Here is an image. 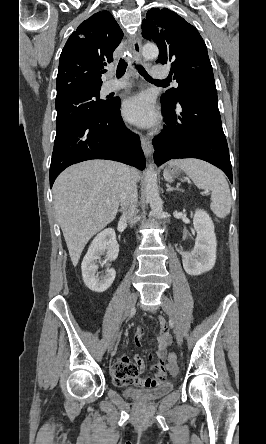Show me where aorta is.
Instances as JSON below:
<instances>
[{
    "mask_svg": "<svg viewBox=\"0 0 266 444\" xmlns=\"http://www.w3.org/2000/svg\"><path fill=\"white\" fill-rule=\"evenodd\" d=\"M142 55L147 60L156 59L159 55V49L155 44L148 43L144 45ZM145 192L152 213L158 218L161 217L163 214V203L159 195L157 174L153 164L148 166L145 173Z\"/></svg>",
    "mask_w": 266,
    "mask_h": 444,
    "instance_id": "obj_1",
    "label": "aorta"
}]
</instances>
